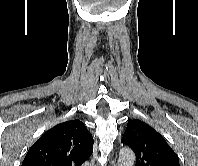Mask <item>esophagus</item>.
Returning <instances> with one entry per match:
<instances>
[{
	"label": "esophagus",
	"mask_w": 198,
	"mask_h": 166,
	"mask_svg": "<svg viewBox=\"0 0 198 166\" xmlns=\"http://www.w3.org/2000/svg\"><path fill=\"white\" fill-rule=\"evenodd\" d=\"M110 166H117V162L115 158H111Z\"/></svg>",
	"instance_id": "1"
}]
</instances>
